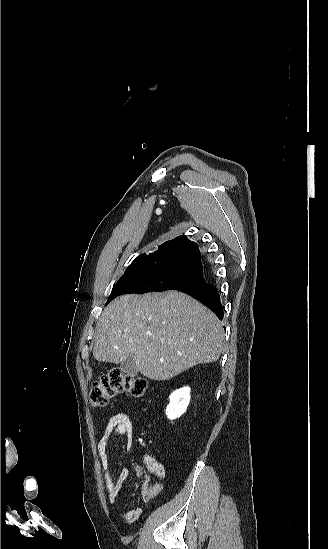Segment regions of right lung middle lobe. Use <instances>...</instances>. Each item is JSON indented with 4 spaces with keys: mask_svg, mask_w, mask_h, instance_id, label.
<instances>
[{
    "mask_svg": "<svg viewBox=\"0 0 328 549\" xmlns=\"http://www.w3.org/2000/svg\"><path fill=\"white\" fill-rule=\"evenodd\" d=\"M202 276L165 269H136L125 271L112 289L107 304L119 295L152 291H185L206 285Z\"/></svg>",
    "mask_w": 328,
    "mask_h": 549,
    "instance_id": "right-lung-middle-lobe-1",
    "label": "right lung middle lobe"
}]
</instances>
